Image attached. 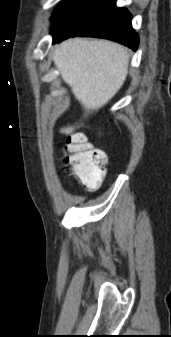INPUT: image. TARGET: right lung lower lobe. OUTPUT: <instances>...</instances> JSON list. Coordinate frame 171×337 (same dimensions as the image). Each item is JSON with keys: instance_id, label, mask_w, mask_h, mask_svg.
<instances>
[{"instance_id": "obj_1", "label": "right lung lower lobe", "mask_w": 171, "mask_h": 337, "mask_svg": "<svg viewBox=\"0 0 171 337\" xmlns=\"http://www.w3.org/2000/svg\"><path fill=\"white\" fill-rule=\"evenodd\" d=\"M116 0H75L52 28L53 43L74 36L106 38L136 50L138 35L132 28V15L117 8Z\"/></svg>"}]
</instances>
